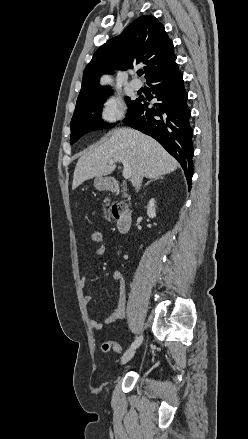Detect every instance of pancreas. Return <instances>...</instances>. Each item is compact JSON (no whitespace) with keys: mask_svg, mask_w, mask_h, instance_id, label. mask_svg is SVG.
I'll return each mask as SVG.
<instances>
[{"mask_svg":"<svg viewBox=\"0 0 248 439\" xmlns=\"http://www.w3.org/2000/svg\"><path fill=\"white\" fill-rule=\"evenodd\" d=\"M128 195H127V193H126V190H124V197H127Z\"/></svg>","mask_w":248,"mask_h":439,"instance_id":"cf45deb5","label":"pancreas"}]
</instances>
